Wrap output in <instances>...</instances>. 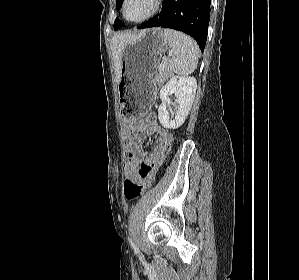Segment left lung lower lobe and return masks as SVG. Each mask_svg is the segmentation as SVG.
Listing matches in <instances>:
<instances>
[{
    "instance_id": "0a47b994",
    "label": "left lung lower lobe",
    "mask_w": 299,
    "mask_h": 280,
    "mask_svg": "<svg viewBox=\"0 0 299 280\" xmlns=\"http://www.w3.org/2000/svg\"><path fill=\"white\" fill-rule=\"evenodd\" d=\"M211 0H163L162 11L138 28L164 27L192 36L204 51Z\"/></svg>"
}]
</instances>
